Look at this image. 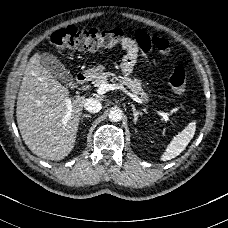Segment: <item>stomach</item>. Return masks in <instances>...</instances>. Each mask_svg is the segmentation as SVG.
I'll use <instances>...</instances> for the list:
<instances>
[{
    "instance_id": "stomach-1",
    "label": "stomach",
    "mask_w": 228,
    "mask_h": 228,
    "mask_svg": "<svg viewBox=\"0 0 228 228\" xmlns=\"http://www.w3.org/2000/svg\"><path fill=\"white\" fill-rule=\"evenodd\" d=\"M102 71H103V67L102 66H97V67H93L91 69L86 70L84 73L87 76L94 77V76L99 75Z\"/></svg>"
}]
</instances>
